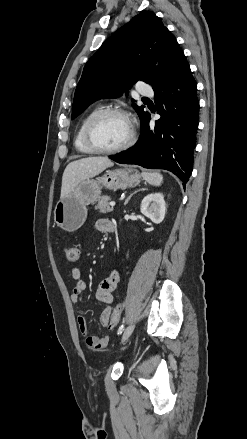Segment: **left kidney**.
I'll return each mask as SVG.
<instances>
[{
  "instance_id": "1",
  "label": "left kidney",
  "mask_w": 247,
  "mask_h": 439,
  "mask_svg": "<svg viewBox=\"0 0 247 439\" xmlns=\"http://www.w3.org/2000/svg\"><path fill=\"white\" fill-rule=\"evenodd\" d=\"M140 211L155 224L164 220L166 204L162 193H151L145 196L141 202Z\"/></svg>"
}]
</instances>
